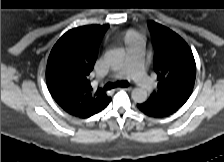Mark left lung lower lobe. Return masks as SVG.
Segmentation results:
<instances>
[{
	"label": "left lung lower lobe",
	"mask_w": 224,
	"mask_h": 162,
	"mask_svg": "<svg viewBox=\"0 0 224 162\" xmlns=\"http://www.w3.org/2000/svg\"><path fill=\"white\" fill-rule=\"evenodd\" d=\"M137 106L142 112L153 117H165L178 110V108L174 107L152 106L145 103L138 104Z\"/></svg>",
	"instance_id": "0a47b994"
}]
</instances>
